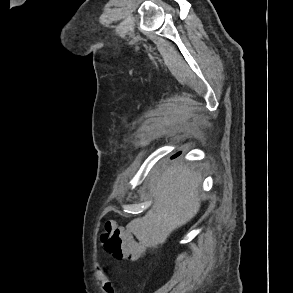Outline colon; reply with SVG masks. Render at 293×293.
<instances>
[{"label":"colon","mask_w":293,"mask_h":293,"mask_svg":"<svg viewBox=\"0 0 293 293\" xmlns=\"http://www.w3.org/2000/svg\"><path fill=\"white\" fill-rule=\"evenodd\" d=\"M101 243L116 259L137 260L145 250L142 243L135 241L131 233L118 226L114 220L105 222Z\"/></svg>","instance_id":"1"}]
</instances>
